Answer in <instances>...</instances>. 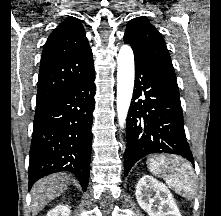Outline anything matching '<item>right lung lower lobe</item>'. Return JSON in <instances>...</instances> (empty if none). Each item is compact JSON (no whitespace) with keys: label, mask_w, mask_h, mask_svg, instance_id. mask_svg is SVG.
Listing matches in <instances>:
<instances>
[{"label":"right lung lower lobe","mask_w":221,"mask_h":216,"mask_svg":"<svg viewBox=\"0 0 221 216\" xmlns=\"http://www.w3.org/2000/svg\"><path fill=\"white\" fill-rule=\"evenodd\" d=\"M95 73L36 107L30 148L29 190L41 177L75 174L85 191L89 182Z\"/></svg>","instance_id":"right-lung-lower-lobe-1"}]
</instances>
